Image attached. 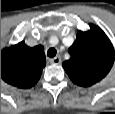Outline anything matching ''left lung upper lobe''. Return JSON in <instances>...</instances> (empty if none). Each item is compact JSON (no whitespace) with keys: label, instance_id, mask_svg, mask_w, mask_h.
<instances>
[{"label":"left lung upper lobe","instance_id":"1","mask_svg":"<svg viewBox=\"0 0 115 114\" xmlns=\"http://www.w3.org/2000/svg\"><path fill=\"white\" fill-rule=\"evenodd\" d=\"M71 58L63 62V68L76 85L89 87L102 80L110 71L115 59L112 43L98 26L78 31L69 48Z\"/></svg>","mask_w":115,"mask_h":114}]
</instances>
